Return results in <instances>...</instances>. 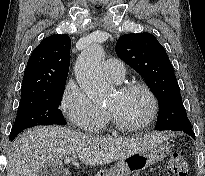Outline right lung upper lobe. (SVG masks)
<instances>
[{
	"label": "right lung upper lobe",
	"mask_w": 205,
	"mask_h": 176,
	"mask_svg": "<svg viewBox=\"0 0 205 176\" xmlns=\"http://www.w3.org/2000/svg\"><path fill=\"white\" fill-rule=\"evenodd\" d=\"M71 40L68 35H51L32 52L21 87V96L65 84L70 65Z\"/></svg>",
	"instance_id": "1"
}]
</instances>
